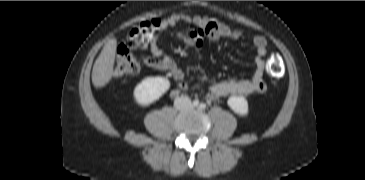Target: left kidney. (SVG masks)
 <instances>
[{
    "mask_svg": "<svg viewBox=\"0 0 365 180\" xmlns=\"http://www.w3.org/2000/svg\"><path fill=\"white\" fill-rule=\"evenodd\" d=\"M227 104L235 113L241 116L248 114V102L243 96H231Z\"/></svg>",
    "mask_w": 365,
    "mask_h": 180,
    "instance_id": "obj_1",
    "label": "left kidney"
}]
</instances>
